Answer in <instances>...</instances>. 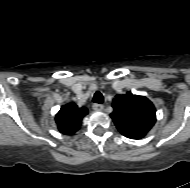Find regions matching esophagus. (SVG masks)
Listing matches in <instances>:
<instances>
[{
  "label": "esophagus",
  "mask_w": 190,
  "mask_h": 188,
  "mask_svg": "<svg viewBox=\"0 0 190 188\" xmlns=\"http://www.w3.org/2000/svg\"><path fill=\"white\" fill-rule=\"evenodd\" d=\"M92 108H93V110H95V111H102V110L104 109V106L101 105V104L95 103V104L92 105Z\"/></svg>",
  "instance_id": "obj_1"
}]
</instances>
